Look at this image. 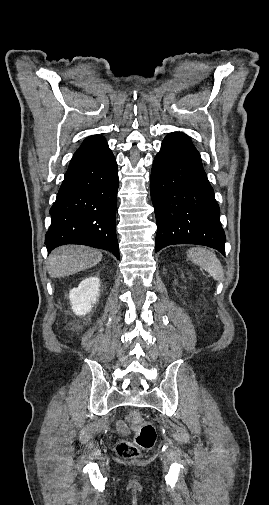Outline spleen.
<instances>
[{
    "instance_id": "spleen-1",
    "label": "spleen",
    "mask_w": 269,
    "mask_h": 505,
    "mask_svg": "<svg viewBox=\"0 0 269 505\" xmlns=\"http://www.w3.org/2000/svg\"><path fill=\"white\" fill-rule=\"evenodd\" d=\"M188 258L207 271L215 280L220 281L224 277V270L220 260L210 250L202 247H193L187 251Z\"/></svg>"
}]
</instances>
